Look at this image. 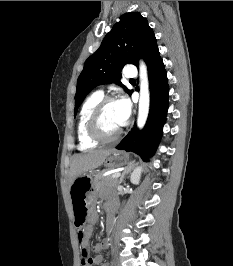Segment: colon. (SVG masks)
Instances as JSON below:
<instances>
[{
    "label": "colon",
    "instance_id": "colon-1",
    "mask_svg": "<svg viewBox=\"0 0 233 266\" xmlns=\"http://www.w3.org/2000/svg\"><path fill=\"white\" fill-rule=\"evenodd\" d=\"M91 227V226H90ZM82 237V231L79 232V239L81 240ZM91 254L87 249H83L81 251V262L83 266H86L90 263L91 261Z\"/></svg>",
    "mask_w": 233,
    "mask_h": 266
}]
</instances>
